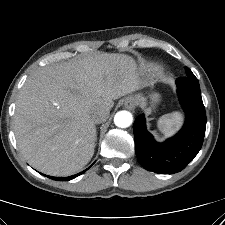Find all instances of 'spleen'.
<instances>
[{"label":"spleen","mask_w":225,"mask_h":225,"mask_svg":"<svg viewBox=\"0 0 225 225\" xmlns=\"http://www.w3.org/2000/svg\"><path fill=\"white\" fill-rule=\"evenodd\" d=\"M183 115L173 112L161 116L158 120V128L165 136H172L182 125Z\"/></svg>","instance_id":"1"}]
</instances>
